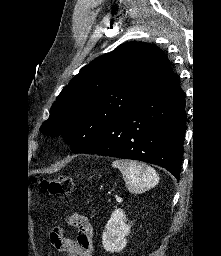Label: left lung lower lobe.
<instances>
[{
  "instance_id": "1",
  "label": "left lung lower lobe",
  "mask_w": 221,
  "mask_h": 256,
  "mask_svg": "<svg viewBox=\"0 0 221 256\" xmlns=\"http://www.w3.org/2000/svg\"><path fill=\"white\" fill-rule=\"evenodd\" d=\"M185 131L184 93L174 75L74 153L145 161L179 179Z\"/></svg>"
}]
</instances>
